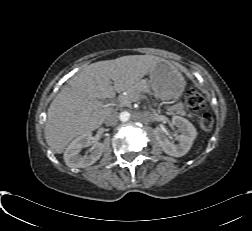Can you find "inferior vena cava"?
<instances>
[{
    "label": "inferior vena cava",
    "instance_id": "1",
    "mask_svg": "<svg viewBox=\"0 0 252 231\" xmlns=\"http://www.w3.org/2000/svg\"><path fill=\"white\" fill-rule=\"evenodd\" d=\"M118 121H119L118 114L117 113H112V114H110L109 116L106 117L104 122H105V124L107 126H115V125H117Z\"/></svg>",
    "mask_w": 252,
    "mask_h": 231
}]
</instances>
